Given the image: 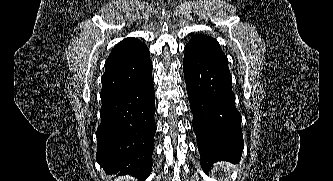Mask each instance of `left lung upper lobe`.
Listing matches in <instances>:
<instances>
[{"mask_svg": "<svg viewBox=\"0 0 333 181\" xmlns=\"http://www.w3.org/2000/svg\"><path fill=\"white\" fill-rule=\"evenodd\" d=\"M185 47L228 66V59L216 39L204 34L194 35Z\"/></svg>", "mask_w": 333, "mask_h": 181, "instance_id": "5c2ea615", "label": "left lung upper lobe"}]
</instances>
